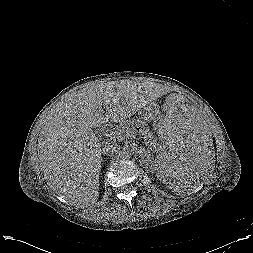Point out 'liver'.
Here are the masks:
<instances>
[{
    "mask_svg": "<svg viewBox=\"0 0 253 253\" xmlns=\"http://www.w3.org/2000/svg\"><path fill=\"white\" fill-rule=\"evenodd\" d=\"M154 87L135 81L91 85L61 101L43 120L38 156L58 196L81 208L96 203L102 156L92 128L130 118L156 98Z\"/></svg>",
    "mask_w": 253,
    "mask_h": 253,
    "instance_id": "1",
    "label": "liver"
}]
</instances>
